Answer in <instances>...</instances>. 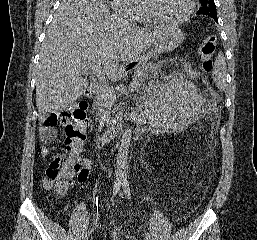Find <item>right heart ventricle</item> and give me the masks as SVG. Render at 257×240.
Segmentation results:
<instances>
[{"mask_svg":"<svg viewBox=\"0 0 257 240\" xmlns=\"http://www.w3.org/2000/svg\"><path fill=\"white\" fill-rule=\"evenodd\" d=\"M135 6L138 9L137 22L147 27H153L157 25V23L148 14L145 0H135Z\"/></svg>","mask_w":257,"mask_h":240,"instance_id":"obj_1","label":"right heart ventricle"}]
</instances>
